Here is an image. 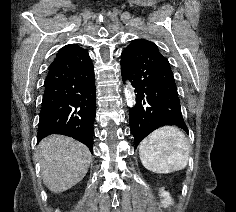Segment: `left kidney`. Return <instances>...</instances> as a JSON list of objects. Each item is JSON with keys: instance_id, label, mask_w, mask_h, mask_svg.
<instances>
[{"instance_id": "1", "label": "left kidney", "mask_w": 236, "mask_h": 212, "mask_svg": "<svg viewBox=\"0 0 236 212\" xmlns=\"http://www.w3.org/2000/svg\"><path fill=\"white\" fill-rule=\"evenodd\" d=\"M160 193H161V196L164 198L163 201H162V205L164 207H168L169 205L172 204V198L170 197V194L168 192H166L164 190V188H162L160 190Z\"/></svg>"}]
</instances>
